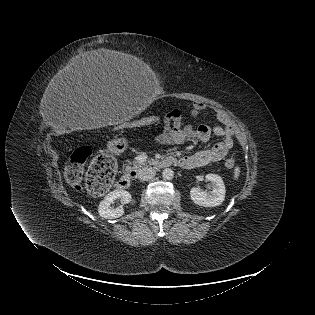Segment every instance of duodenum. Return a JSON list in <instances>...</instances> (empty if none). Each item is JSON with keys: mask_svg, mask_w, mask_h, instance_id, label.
I'll return each instance as SVG.
<instances>
[{"mask_svg": "<svg viewBox=\"0 0 315 315\" xmlns=\"http://www.w3.org/2000/svg\"><path fill=\"white\" fill-rule=\"evenodd\" d=\"M173 164H176V160L172 157H166L158 161V166L161 168H166ZM134 175H135L134 172H130V173H126L122 175L121 178L116 182V187L118 189L129 188Z\"/></svg>", "mask_w": 315, "mask_h": 315, "instance_id": "obj_1", "label": "duodenum"}]
</instances>
